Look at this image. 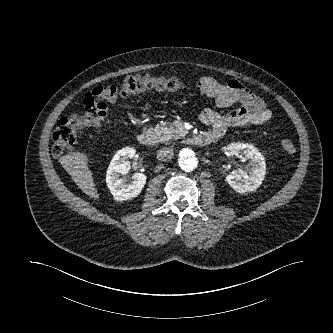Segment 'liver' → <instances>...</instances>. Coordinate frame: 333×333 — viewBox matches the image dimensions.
Returning <instances> with one entry per match:
<instances>
[{"label": "liver", "instance_id": "obj_1", "mask_svg": "<svg viewBox=\"0 0 333 333\" xmlns=\"http://www.w3.org/2000/svg\"><path fill=\"white\" fill-rule=\"evenodd\" d=\"M59 161L86 195L95 199L99 198L94 179L92 178V172L87 164V155L76 152L64 155Z\"/></svg>", "mask_w": 333, "mask_h": 333}]
</instances>
